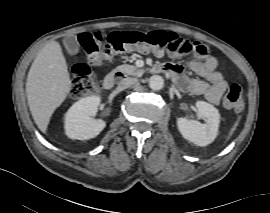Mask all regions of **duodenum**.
Here are the masks:
<instances>
[{"mask_svg": "<svg viewBox=\"0 0 270 213\" xmlns=\"http://www.w3.org/2000/svg\"><path fill=\"white\" fill-rule=\"evenodd\" d=\"M154 71L157 73H164L165 70L162 68H155ZM124 78H125V74L122 72H115V73L109 74L104 78L102 82V88L104 90H112L114 86L116 85V83Z\"/></svg>", "mask_w": 270, "mask_h": 213, "instance_id": "duodenum-1", "label": "duodenum"}]
</instances>
